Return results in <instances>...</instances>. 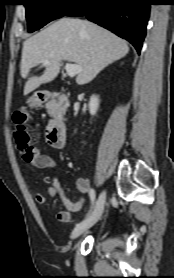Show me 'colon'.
Instances as JSON below:
<instances>
[{"instance_id":"1","label":"colon","mask_w":174,"mask_h":278,"mask_svg":"<svg viewBox=\"0 0 174 278\" xmlns=\"http://www.w3.org/2000/svg\"><path fill=\"white\" fill-rule=\"evenodd\" d=\"M13 120L16 125L15 141L22 158L25 162H32L39 154V151L31 145L30 135L27 130L29 120L28 111L22 108L16 111L13 115Z\"/></svg>"}]
</instances>
